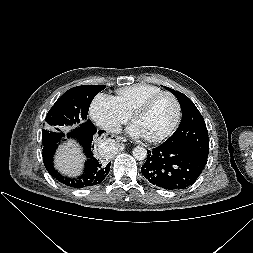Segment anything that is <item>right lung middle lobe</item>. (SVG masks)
<instances>
[{
	"label": "right lung middle lobe",
	"instance_id": "1",
	"mask_svg": "<svg viewBox=\"0 0 253 253\" xmlns=\"http://www.w3.org/2000/svg\"><path fill=\"white\" fill-rule=\"evenodd\" d=\"M106 86L82 85L66 91L52 106L45 118V127L42 130V142L55 143L62 138L72 137L78 128L91 125L87 119L90 103L93 98ZM75 126L66 133L65 126Z\"/></svg>",
	"mask_w": 253,
	"mask_h": 253
}]
</instances>
